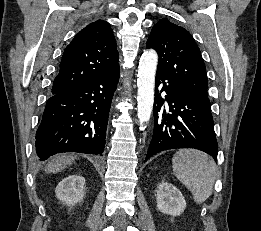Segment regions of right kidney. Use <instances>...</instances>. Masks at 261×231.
Segmentation results:
<instances>
[{
  "instance_id": "right-kidney-1",
  "label": "right kidney",
  "mask_w": 261,
  "mask_h": 231,
  "mask_svg": "<svg viewBox=\"0 0 261 231\" xmlns=\"http://www.w3.org/2000/svg\"><path fill=\"white\" fill-rule=\"evenodd\" d=\"M85 179L80 175L64 178L56 187L57 198L68 206L80 203L84 197Z\"/></svg>"
}]
</instances>
